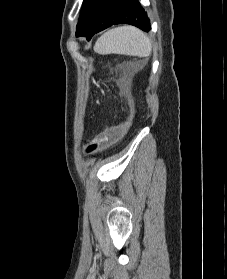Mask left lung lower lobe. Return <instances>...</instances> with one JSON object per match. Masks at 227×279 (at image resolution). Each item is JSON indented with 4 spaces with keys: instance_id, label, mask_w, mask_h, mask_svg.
Here are the masks:
<instances>
[{
    "instance_id": "1",
    "label": "left lung lower lobe",
    "mask_w": 227,
    "mask_h": 279,
    "mask_svg": "<svg viewBox=\"0 0 227 279\" xmlns=\"http://www.w3.org/2000/svg\"><path fill=\"white\" fill-rule=\"evenodd\" d=\"M120 23L150 30V21L138 0H93L76 36L89 41L95 33Z\"/></svg>"
}]
</instances>
